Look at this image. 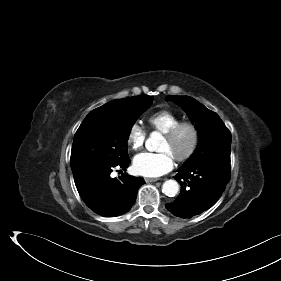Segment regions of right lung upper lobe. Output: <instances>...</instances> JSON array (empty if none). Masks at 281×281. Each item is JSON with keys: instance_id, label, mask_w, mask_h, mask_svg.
Returning a JSON list of instances; mask_svg holds the SVG:
<instances>
[{"instance_id": "cb5924a9", "label": "right lung upper lobe", "mask_w": 281, "mask_h": 281, "mask_svg": "<svg viewBox=\"0 0 281 281\" xmlns=\"http://www.w3.org/2000/svg\"><path fill=\"white\" fill-rule=\"evenodd\" d=\"M130 99H131V97H130V98H124V99L113 100V101H110V102L106 103L105 105H103V106H101V107H99V108H97V109H99V110H103V109H113V108L119 106L120 104H122V103H124V102H126V101H129Z\"/></svg>"}]
</instances>
